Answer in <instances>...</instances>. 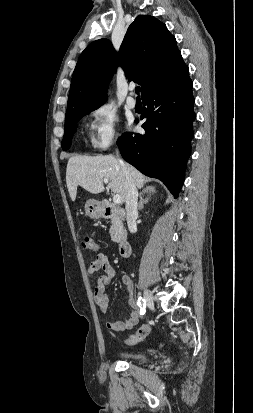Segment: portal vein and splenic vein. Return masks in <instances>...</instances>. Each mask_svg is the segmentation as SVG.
<instances>
[{
  "mask_svg": "<svg viewBox=\"0 0 253 413\" xmlns=\"http://www.w3.org/2000/svg\"><path fill=\"white\" fill-rule=\"evenodd\" d=\"M104 183H108V180H104ZM113 202L115 204H120L122 202L121 196L119 194L114 195Z\"/></svg>",
  "mask_w": 253,
  "mask_h": 413,
  "instance_id": "18ae733b",
  "label": "portal vein and splenic vein"
}]
</instances>
